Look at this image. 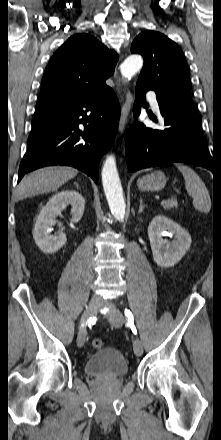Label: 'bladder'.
<instances>
[{
    "label": "bladder",
    "mask_w": 221,
    "mask_h": 440,
    "mask_svg": "<svg viewBox=\"0 0 221 440\" xmlns=\"http://www.w3.org/2000/svg\"><path fill=\"white\" fill-rule=\"evenodd\" d=\"M84 371L92 377L114 379L126 375L128 366L119 350L107 348L90 356L84 364Z\"/></svg>",
    "instance_id": "1"
}]
</instances>
